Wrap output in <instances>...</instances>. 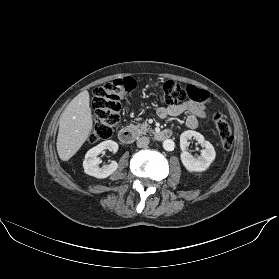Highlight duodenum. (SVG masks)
<instances>
[{
	"label": "duodenum",
	"instance_id": "obj_1",
	"mask_svg": "<svg viewBox=\"0 0 279 279\" xmlns=\"http://www.w3.org/2000/svg\"><path fill=\"white\" fill-rule=\"evenodd\" d=\"M172 135L173 132L170 129H165L154 133L153 138L156 141H164L170 139ZM137 136H138L137 132L132 128H122L118 133V137L120 141L125 144L132 143L137 138Z\"/></svg>",
	"mask_w": 279,
	"mask_h": 279
}]
</instances>
